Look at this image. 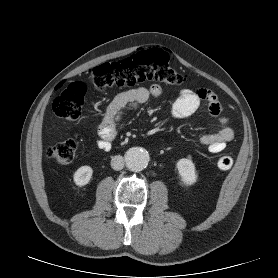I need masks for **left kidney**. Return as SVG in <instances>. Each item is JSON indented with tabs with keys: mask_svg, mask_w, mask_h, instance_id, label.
<instances>
[{
	"mask_svg": "<svg viewBox=\"0 0 278 278\" xmlns=\"http://www.w3.org/2000/svg\"><path fill=\"white\" fill-rule=\"evenodd\" d=\"M177 169L182 181L187 185H193L197 181V174L194 163L187 158H182L177 162Z\"/></svg>",
	"mask_w": 278,
	"mask_h": 278,
	"instance_id": "5707ae66",
	"label": "left kidney"
}]
</instances>
